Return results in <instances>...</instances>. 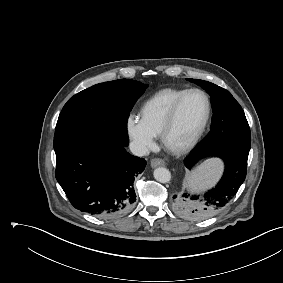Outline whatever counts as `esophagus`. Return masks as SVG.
Masks as SVG:
<instances>
[{
    "instance_id": "obj_1",
    "label": "esophagus",
    "mask_w": 283,
    "mask_h": 283,
    "mask_svg": "<svg viewBox=\"0 0 283 283\" xmlns=\"http://www.w3.org/2000/svg\"><path fill=\"white\" fill-rule=\"evenodd\" d=\"M166 163L163 159L160 158H155L151 160V166L153 168L158 167V166H164Z\"/></svg>"
}]
</instances>
